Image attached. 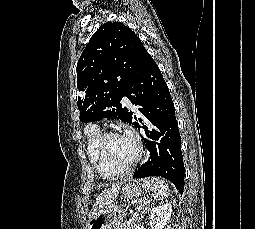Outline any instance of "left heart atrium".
Wrapping results in <instances>:
<instances>
[{
    "instance_id": "left-heart-atrium-1",
    "label": "left heart atrium",
    "mask_w": 255,
    "mask_h": 229,
    "mask_svg": "<svg viewBox=\"0 0 255 229\" xmlns=\"http://www.w3.org/2000/svg\"><path fill=\"white\" fill-rule=\"evenodd\" d=\"M126 136H127L128 138L134 140V138H133V136H132L131 134H127Z\"/></svg>"
}]
</instances>
